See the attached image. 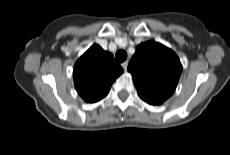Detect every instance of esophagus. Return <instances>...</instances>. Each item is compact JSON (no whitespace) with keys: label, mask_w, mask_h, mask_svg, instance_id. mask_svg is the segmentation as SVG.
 <instances>
[{"label":"esophagus","mask_w":230,"mask_h":155,"mask_svg":"<svg viewBox=\"0 0 230 155\" xmlns=\"http://www.w3.org/2000/svg\"><path fill=\"white\" fill-rule=\"evenodd\" d=\"M121 66L123 67L124 70H126L128 66V61L123 62Z\"/></svg>","instance_id":"obj_1"}]
</instances>
